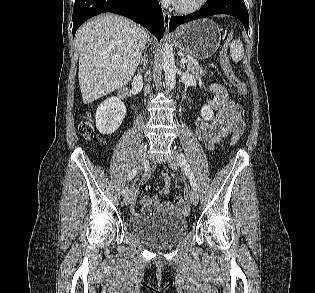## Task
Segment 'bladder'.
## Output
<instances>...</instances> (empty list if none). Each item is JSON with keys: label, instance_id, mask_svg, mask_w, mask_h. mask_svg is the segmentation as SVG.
Listing matches in <instances>:
<instances>
[{"label": "bladder", "instance_id": "31cf9c89", "mask_svg": "<svg viewBox=\"0 0 315 293\" xmlns=\"http://www.w3.org/2000/svg\"><path fill=\"white\" fill-rule=\"evenodd\" d=\"M128 227L144 243L163 248L179 242L186 235L189 224L178 214L159 212L134 216Z\"/></svg>", "mask_w": 315, "mask_h": 293}]
</instances>
